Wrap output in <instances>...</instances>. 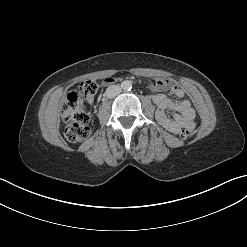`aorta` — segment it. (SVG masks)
Wrapping results in <instances>:
<instances>
[{
	"mask_svg": "<svg viewBox=\"0 0 247 247\" xmlns=\"http://www.w3.org/2000/svg\"><path fill=\"white\" fill-rule=\"evenodd\" d=\"M121 87L124 91H129L132 88V82L129 80H125L121 83Z\"/></svg>",
	"mask_w": 247,
	"mask_h": 247,
	"instance_id": "762f6f07",
	"label": "aorta"
}]
</instances>
